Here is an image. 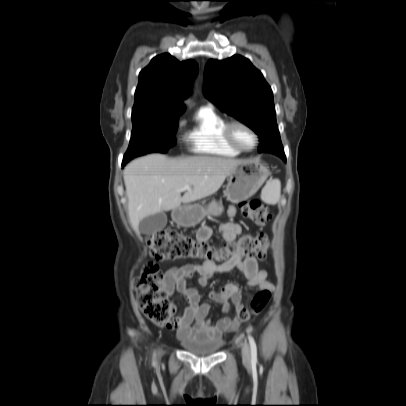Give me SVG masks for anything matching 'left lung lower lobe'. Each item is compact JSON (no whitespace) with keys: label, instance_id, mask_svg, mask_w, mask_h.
<instances>
[{"label":"left lung lower lobe","instance_id":"0a47b994","mask_svg":"<svg viewBox=\"0 0 406 406\" xmlns=\"http://www.w3.org/2000/svg\"><path fill=\"white\" fill-rule=\"evenodd\" d=\"M282 158H283L284 160H286L285 155H283Z\"/></svg>","mask_w":406,"mask_h":406}]
</instances>
